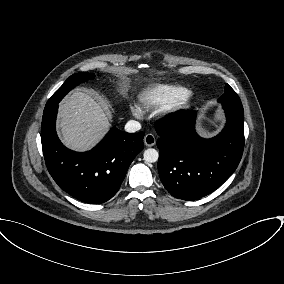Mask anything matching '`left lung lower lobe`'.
Instances as JSON below:
<instances>
[{"label":"left lung lower lobe","mask_w":284,"mask_h":284,"mask_svg":"<svg viewBox=\"0 0 284 284\" xmlns=\"http://www.w3.org/2000/svg\"><path fill=\"white\" fill-rule=\"evenodd\" d=\"M227 122L216 137L195 132L196 111H182L158 121V171L168 192L195 200L220 187L236 170L244 149L243 107L224 104Z\"/></svg>","instance_id":"0a47b994"}]
</instances>
